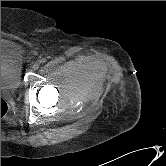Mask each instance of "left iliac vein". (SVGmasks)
Segmentation results:
<instances>
[{
    "mask_svg": "<svg viewBox=\"0 0 166 166\" xmlns=\"http://www.w3.org/2000/svg\"><path fill=\"white\" fill-rule=\"evenodd\" d=\"M32 68H33L34 70H37V69L39 68V63H38V62L34 63V64L32 65Z\"/></svg>",
    "mask_w": 166,
    "mask_h": 166,
    "instance_id": "4c4485c4",
    "label": "left iliac vein"
}]
</instances>
